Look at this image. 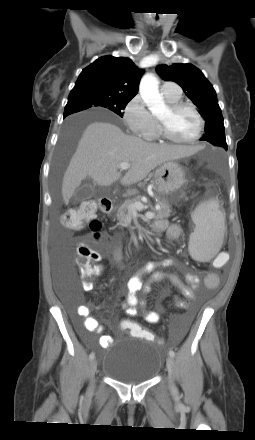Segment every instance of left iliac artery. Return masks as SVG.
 Wrapping results in <instances>:
<instances>
[{
  "instance_id": "left-iliac-artery-1",
  "label": "left iliac artery",
  "mask_w": 255,
  "mask_h": 440,
  "mask_svg": "<svg viewBox=\"0 0 255 440\" xmlns=\"http://www.w3.org/2000/svg\"><path fill=\"white\" fill-rule=\"evenodd\" d=\"M169 355H170L171 357H174V356H175V352H174L173 350H170V351H169Z\"/></svg>"
}]
</instances>
